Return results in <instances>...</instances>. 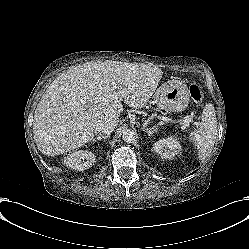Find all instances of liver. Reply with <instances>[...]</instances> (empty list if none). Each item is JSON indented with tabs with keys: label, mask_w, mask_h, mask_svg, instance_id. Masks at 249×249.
I'll list each match as a JSON object with an SVG mask.
<instances>
[{
	"label": "liver",
	"mask_w": 249,
	"mask_h": 249,
	"mask_svg": "<svg viewBox=\"0 0 249 249\" xmlns=\"http://www.w3.org/2000/svg\"><path fill=\"white\" fill-rule=\"evenodd\" d=\"M161 72L113 62L89 63L57 78L37 105L33 123L37 147L59 155L84 146L101 124L117 121L124 103L141 109L155 92ZM123 93V96H119Z\"/></svg>",
	"instance_id": "1"
}]
</instances>
